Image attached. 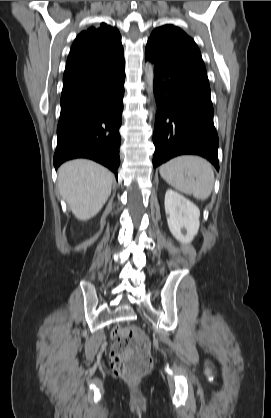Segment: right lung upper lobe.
Masks as SVG:
<instances>
[{
    "instance_id": "right-lung-upper-lobe-1",
    "label": "right lung upper lobe",
    "mask_w": 271,
    "mask_h": 418,
    "mask_svg": "<svg viewBox=\"0 0 271 418\" xmlns=\"http://www.w3.org/2000/svg\"><path fill=\"white\" fill-rule=\"evenodd\" d=\"M121 36L105 23L82 31L72 44L61 100L84 91L124 65Z\"/></svg>"
}]
</instances>
